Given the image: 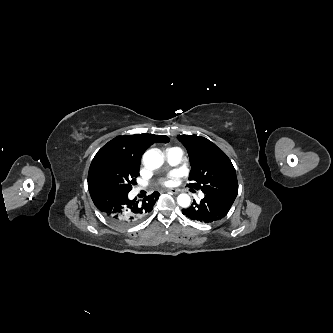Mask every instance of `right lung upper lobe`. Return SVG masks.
<instances>
[{"label":"right lung upper lobe","instance_id":"obj_1","mask_svg":"<svg viewBox=\"0 0 333 333\" xmlns=\"http://www.w3.org/2000/svg\"><path fill=\"white\" fill-rule=\"evenodd\" d=\"M168 141L167 136L147 133L118 136L105 144L97 153L112 152L140 166L141 156L147 148L154 143H167Z\"/></svg>","mask_w":333,"mask_h":333}]
</instances>
